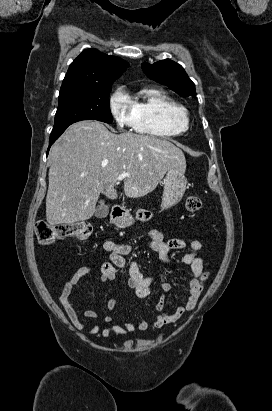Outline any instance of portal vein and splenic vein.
Masks as SVG:
<instances>
[{"mask_svg":"<svg viewBox=\"0 0 272 411\" xmlns=\"http://www.w3.org/2000/svg\"><path fill=\"white\" fill-rule=\"evenodd\" d=\"M128 176V173H121V174H119L118 175V177H117V180H123V179H125L126 177Z\"/></svg>","mask_w":272,"mask_h":411,"instance_id":"1","label":"portal vein and splenic vein"}]
</instances>
